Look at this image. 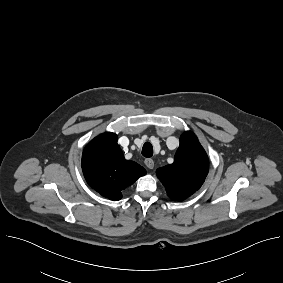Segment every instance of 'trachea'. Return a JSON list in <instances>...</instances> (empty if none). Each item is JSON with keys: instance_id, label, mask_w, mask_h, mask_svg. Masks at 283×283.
Listing matches in <instances>:
<instances>
[{"instance_id": "obj_1", "label": "trachea", "mask_w": 283, "mask_h": 283, "mask_svg": "<svg viewBox=\"0 0 283 283\" xmlns=\"http://www.w3.org/2000/svg\"><path fill=\"white\" fill-rule=\"evenodd\" d=\"M142 155L144 157H152L153 155V146L151 145V143L149 142H146L144 145H143V148H142Z\"/></svg>"}]
</instances>
